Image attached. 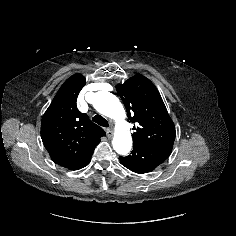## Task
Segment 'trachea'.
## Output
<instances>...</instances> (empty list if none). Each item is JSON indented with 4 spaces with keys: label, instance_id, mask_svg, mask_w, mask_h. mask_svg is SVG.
I'll list each match as a JSON object with an SVG mask.
<instances>
[{
    "label": "trachea",
    "instance_id": "obj_1",
    "mask_svg": "<svg viewBox=\"0 0 236 236\" xmlns=\"http://www.w3.org/2000/svg\"><path fill=\"white\" fill-rule=\"evenodd\" d=\"M93 121L95 123H97L98 125L102 126V127H108L109 126L107 120L105 118H103L101 115H95L93 117Z\"/></svg>",
    "mask_w": 236,
    "mask_h": 236
}]
</instances>
